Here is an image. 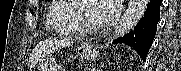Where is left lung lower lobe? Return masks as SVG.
I'll return each instance as SVG.
<instances>
[{"mask_svg": "<svg viewBox=\"0 0 181 71\" xmlns=\"http://www.w3.org/2000/svg\"><path fill=\"white\" fill-rule=\"evenodd\" d=\"M161 3L162 0H150L144 16L140 19L134 30L124 37L114 40L113 43L127 44L136 50L145 61L157 31Z\"/></svg>", "mask_w": 181, "mask_h": 71, "instance_id": "left-lung-lower-lobe-1", "label": "left lung lower lobe"}]
</instances>
